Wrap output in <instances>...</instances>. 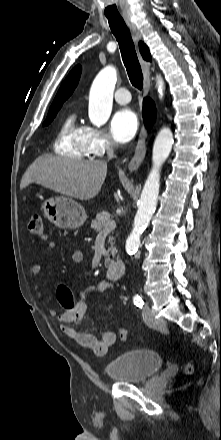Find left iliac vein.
Instances as JSON below:
<instances>
[{"label": "left iliac vein", "mask_w": 221, "mask_h": 440, "mask_svg": "<svg viewBox=\"0 0 221 440\" xmlns=\"http://www.w3.org/2000/svg\"><path fill=\"white\" fill-rule=\"evenodd\" d=\"M142 316L144 322L152 328L159 329L165 326L164 319H155L152 313V310L148 305H145L142 311Z\"/></svg>", "instance_id": "left-iliac-vein-1"}]
</instances>
